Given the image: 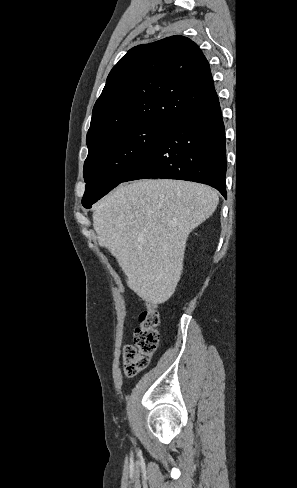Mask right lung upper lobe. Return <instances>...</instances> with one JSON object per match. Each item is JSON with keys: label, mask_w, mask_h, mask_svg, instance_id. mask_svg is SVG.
Returning a JSON list of instances; mask_svg holds the SVG:
<instances>
[{"label": "right lung upper lobe", "mask_w": 297, "mask_h": 488, "mask_svg": "<svg viewBox=\"0 0 297 488\" xmlns=\"http://www.w3.org/2000/svg\"><path fill=\"white\" fill-rule=\"evenodd\" d=\"M217 97L209 63L189 38L175 35L136 46L108 75L93 108L87 146L131 125H171Z\"/></svg>", "instance_id": "1"}]
</instances>
